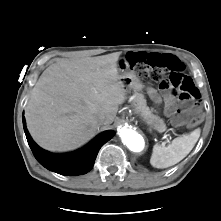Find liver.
Here are the masks:
<instances>
[{"label": "liver", "mask_w": 221, "mask_h": 221, "mask_svg": "<svg viewBox=\"0 0 221 221\" xmlns=\"http://www.w3.org/2000/svg\"><path fill=\"white\" fill-rule=\"evenodd\" d=\"M120 53L61 61L40 76L25 108L32 138L49 151L75 149L109 126L127 89L120 81ZM103 115V123L97 117Z\"/></svg>", "instance_id": "1"}]
</instances>
